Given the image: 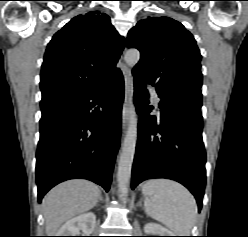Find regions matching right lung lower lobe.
<instances>
[{
    "label": "right lung lower lobe",
    "instance_id": "right-lung-lower-lobe-1",
    "mask_svg": "<svg viewBox=\"0 0 248 237\" xmlns=\"http://www.w3.org/2000/svg\"><path fill=\"white\" fill-rule=\"evenodd\" d=\"M122 73L85 91L41 101L38 201L55 185L83 178L109 190L120 144Z\"/></svg>",
    "mask_w": 248,
    "mask_h": 237
}]
</instances>
